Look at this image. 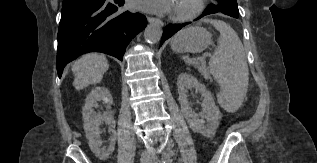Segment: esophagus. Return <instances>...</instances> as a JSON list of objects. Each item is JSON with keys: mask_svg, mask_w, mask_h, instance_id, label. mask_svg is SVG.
I'll return each mask as SVG.
<instances>
[{"mask_svg": "<svg viewBox=\"0 0 317 163\" xmlns=\"http://www.w3.org/2000/svg\"><path fill=\"white\" fill-rule=\"evenodd\" d=\"M147 20L149 23H155L161 27L164 25V23L160 19L155 18V17H147Z\"/></svg>", "mask_w": 317, "mask_h": 163, "instance_id": "34e87169", "label": "esophagus"}]
</instances>
